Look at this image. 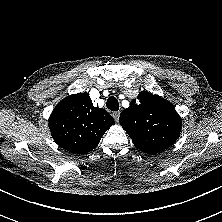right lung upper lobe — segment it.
Returning <instances> with one entry per match:
<instances>
[{
  "instance_id": "right-lung-upper-lobe-1",
  "label": "right lung upper lobe",
  "mask_w": 222,
  "mask_h": 222,
  "mask_svg": "<svg viewBox=\"0 0 222 222\" xmlns=\"http://www.w3.org/2000/svg\"><path fill=\"white\" fill-rule=\"evenodd\" d=\"M113 124L105 109L93 106L87 92L62 100L49 118L54 141L67 151L81 154L93 150Z\"/></svg>"
}]
</instances>
